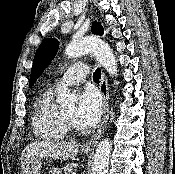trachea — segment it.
<instances>
[{"label":"trachea","mask_w":175,"mask_h":174,"mask_svg":"<svg viewBox=\"0 0 175 174\" xmlns=\"http://www.w3.org/2000/svg\"><path fill=\"white\" fill-rule=\"evenodd\" d=\"M100 78H101V70L97 68L95 72L93 73V80L99 81Z\"/></svg>","instance_id":"trachea-1"}]
</instances>
